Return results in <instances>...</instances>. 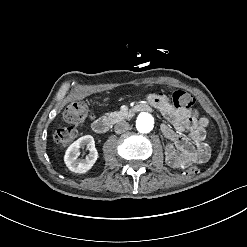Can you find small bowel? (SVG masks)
Returning a JSON list of instances; mask_svg holds the SVG:
<instances>
[{"label": "small bowel", "mask_w": 247, "mask_h": 247, "mask_svg": "<svg viewBox=\"0 0 247 247\" xmlns=\"http://www.w3.org/2000/svg\"><path fill=\"white\" fill-rule=\"evenodd\" d=\"M148 102L163 112L171 123L161 126V132L167 140V163L173 168H184L191 163L206 162L210 155V148L205 142L208 120L199 118L187 108L172 106L161 93L150 94ZM184 133H188V136ZM186 149H190V152L186 153Z\"/></svg>", "instance_id": "1"}]
</instances>
